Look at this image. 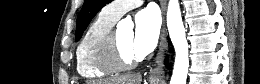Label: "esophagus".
Instances as JSON below:
<instances>
[{
	"label": "esophagus",
	"mask_w": 260,
	"mask_h": 84,
	"mask_svg": "<svg viewBox=\"0 0 260 84\" xmlns=\"http://www.w3.org/2000/svg\"><path fill=\"white\" fill-rule=\"evenodd\" d=\"M166 3L167 0H160V6H161L162 18H163L162 31L160 36V44L155 59V64L150 69L149 72V79L154 82H159L164 77L163 67H164V58L167 50V31L165 26Z\"/></svg>",
	"instance_id": "1"
}]
</instances>
